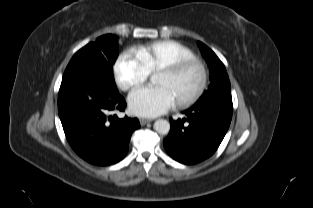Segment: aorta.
<instances>
[{"mask_svg":"<svg viewBox=\"0 0 313 208\" xmlns=\"http://www.w3.org/2000/svg\"><path fill=\"white\" fill-rule=\"evenodd\" d=\"M154 130L162 135L168 134L170 130V123L167 120H156L153 126Z\"/></svg>","mask_w":313,"mask_h":208,"instance_id":"762f6f07","label":"aorta"}]
</instances>
